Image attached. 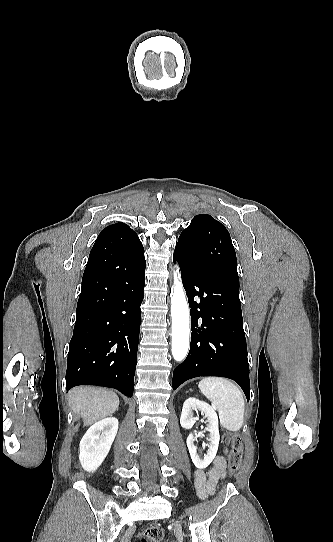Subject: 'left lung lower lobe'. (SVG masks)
I'll return each mask as SVG.
<instances>
[{"instance_id": "left-lung-lower-lobe-1", "label": "left lung lower lobe", "mask_w": 333, "mask_h": 542, "mask_svg": "<svg viewBox=\"0 0 333 542\" xmlns=\"http://www.w3.org/2000/svg\"><path fill=\"white\" fill-rule=\"evenodd\" d=\"M173 261H178L181 269L191 308L192 330L189 354L173 372V389L194 377H226L237 382L249 400V364L239 281L191 265L176 249Z\"/></svg>"}]
</instances>
